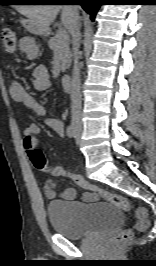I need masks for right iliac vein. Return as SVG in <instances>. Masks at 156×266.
Masks as SVG:
<instances>
[{"mask_svg":"<svg viewBox=\"0 0 156 266\" xmlns=\"http://www.w3.org/2000/svg\"><path fill=\"white\" fill-rule=\"evenodd\" d=\"M73 125H74L76 131H81V124L79 122L75 121L73 123Z\"/></svg>","mask_w":156,"mask_h":266,"instance_id":"1","label":"right iliac vein"}]
</instances>
